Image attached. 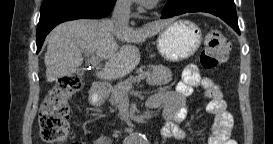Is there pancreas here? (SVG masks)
<instances>
[{
  "label": "pancreas",
  "mask_w": 273,
  "mask_h": 144,
  "mask_svg": "<svg viewBox=\"0 0 273 144\" xmlns=\"http://www.w3.org/2000/svg\"><path fill=\"white\" fill-rule=\"evenodd\" d=\"M147 72V83L153 86L166 85L172 80V73L168 67L163 65L151 66ZM138 80V76H131L124 82L118 83L111 89L110 103L118 107V105L127 98L129 91L132 88L134 82Z\"/></svg>",
  "instance_id": "pancreas-1"
}]
</instances>
